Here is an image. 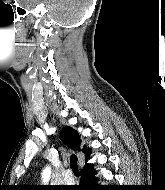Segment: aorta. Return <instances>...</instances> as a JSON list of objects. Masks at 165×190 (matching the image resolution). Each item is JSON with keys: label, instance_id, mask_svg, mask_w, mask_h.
I'll use <instances>...</instances> for the list:
<instances>
[{"label": "aorta", "instance_id": "obj_1", "mask_svg": "<svg viewBox=\"0 0 165 190\" xmlns=\"http://www.w3.org/2000/svg\"><path fill=\"white\" fill-rule=\"evenodd\" d=\"M49 176H50V168H47V169L45 170V173H44V179H45L46 181H48Z\"/></svg>", "mask_w": 165, "mask_h": 190}]
</instances>
